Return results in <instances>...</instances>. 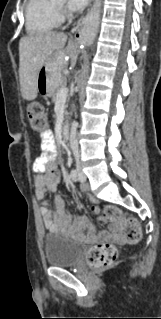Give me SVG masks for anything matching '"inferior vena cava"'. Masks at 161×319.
<instances>
[{
  "mask_svg": "<svg viewBox=\"0 0 161 319\" xmlns=\"http://www.w3.org/2000/svg\"><path fill=\"white\" fill-rule=\"evenodd\" d=\"M76 130H77V123L73 122L71 126V132H70V147L72 149L73 155L76 160V167L80 168V154H79V145L78 140L76 138Z\"/></svg>",
  "mask_w": 161,
  "mask_h": 319,
  "instance_id": "602c4592",
  "label": "inferior vena cava"
}]
</instances>
